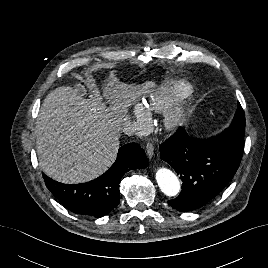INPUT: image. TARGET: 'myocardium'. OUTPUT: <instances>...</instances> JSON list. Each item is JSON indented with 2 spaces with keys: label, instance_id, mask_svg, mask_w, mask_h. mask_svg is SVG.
Returning a JSON list of instances; mask_svg holds the SVG:
<instances>
[{
  "label": "myocardium",
  "instance_id": "1",
  "mask_svg": "<svg viewBox=\"0 0 268 268\" xmlns=\"http://www.w3.org/2000/svg\"><path fill=\"white\" fill-rule=\"evenodd\" d=\"M187 95V92L184 94ZM185 121L184 107L177 105L169 108L164 116L165 126L169 129L177 128Z\"/></svg>",
  "mask_w": 268,
  "mask_h": 268
}]
</instances>
